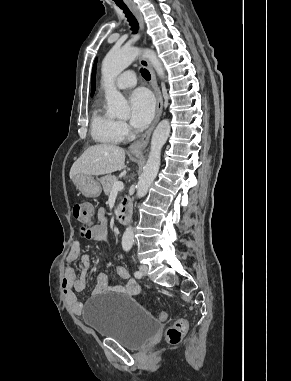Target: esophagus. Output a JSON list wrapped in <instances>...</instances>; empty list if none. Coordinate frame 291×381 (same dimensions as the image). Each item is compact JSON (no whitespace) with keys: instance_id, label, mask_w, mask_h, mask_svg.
I'll list each match as a JSON object with an SVG mask.
<instances>
[{"instance_id":"34e87169","label":"esophagus","mask_w":291,"mask_h":381,"mask_svg":"<svg viewBox=\"0 0 291 381\" xmlns=\"http://www.w3.org/2000/svg\"><path fill=\"white\" fill-rule=\"evenodd\" d=\"M128 7L130 8L132 13L134 14L136 19L138 20L141 29L144 30V27H145L144 26V20H143V17L141 15L140 11L136 7V5L133 3H128ZM140 63L143 67L147 68L150 72L151 86H152V89L156 95L157 102H156L155 116H154V119H153L150 127L138 140L133 142L129 147V152L132 154H135V155H142L143 154L144 149L146 148V146L149 143L150 136H151L155 126L157 125L158 121L160 120V117L162 115V110H163V99H162V95H161V92H160V89H159V86L157 83V79H156V75L154 73V70H153L151 64L149 63V61L145 57H142L140 59Z\"/></svg>"}]
</instances>
